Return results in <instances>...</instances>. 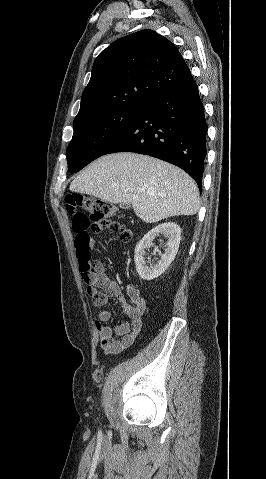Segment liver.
Segmentation results:
<instances>
[{
    "mask_svg": "<svg viewBox=\"0 0 266 479\" xmlns=\"http://www.w3.org/2000/svg\"><path fill=\"white\" fill-rule=\"evenodd\" d=\"M69 189L114 204L131 203L136 216L146 223L194 215L199 210L198 187L187 173L135 153L98 158L74 178Z\"/></svg>",
    "mask_w": 266,
    "mask_h": 479,
    "instance_id": "liver-1",
    "label": "liver"
}]
</instances>
